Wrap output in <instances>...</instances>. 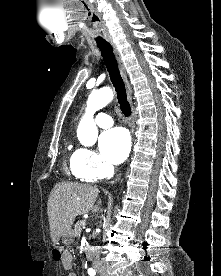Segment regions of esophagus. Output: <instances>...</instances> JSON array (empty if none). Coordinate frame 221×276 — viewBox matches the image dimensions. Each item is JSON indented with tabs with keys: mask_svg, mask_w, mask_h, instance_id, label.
Instances as JSON below:
<instances>
[{
	"mask_svg": "<svg viewBox=\"0 0 221 276\" xmlns=\"http://www.w3.org/2000/svg\"><path fill=\"white\" fill-rule=\"evenodd\" d=\"M110 44L113 48V52H114L115 58H116L117 63H118L119 71H120V74H121V76L123 78V81H124V84H125L128 100L132 104V88H131L130 83L127 79L126 72H125V67H124L123 61L121 59V55H120L116 45L113 42H110ZM122 174H123V170H121L118 173V175L116 176L115 180L112 183H117L121 179Z\"/></svg>",
	"mask_w": 221,
	"mask_h": 276,
	"instance_id": "esophagus-1",
	"label": "esophagus"
}]
</instances>
